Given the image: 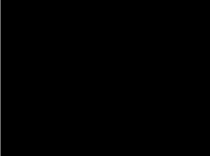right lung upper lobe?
Segmentation results:
<instances>
[{
    "label": "right lung upper lobe",
    "instance_id": "right-lung-upper-lobe-1",
    "mask_svg": "<svg viewBox=\"0 0 210 156\" xmlns=\"http://www.w3.org/2000/svg\"><path fill=\"white\" fill-rule=\"evenodd\" d=\"M70 62L53 67L40 85L34 100V113L42 136L56 145H74L93 127L87 104H77L83 96V81L69 70Z\"/></svg>",
    "mask_w": 210,
    "mask_h": 156
}]
</instances>
